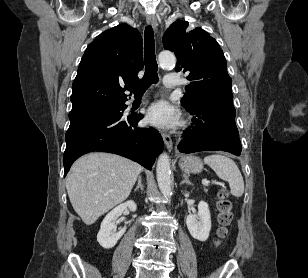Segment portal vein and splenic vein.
Returning <instances> with one entry per match:
<instances>
[{"label": "portal vein and splenic vein", "mask_w": 308, "mask_h": 278, "mask_svg": "<svg viewBox=\"0 0 308 278\" xmlns=\"http://www.w3.org/2000/svg\"><path fill=\"white\" fill-rule=\"evenodd\" d=\"M213 183H216V182H213ZM204 184L208 185V184H210V181L209 180H205Z\"/></svg>", "instance_id": "1"}]
</instances>
